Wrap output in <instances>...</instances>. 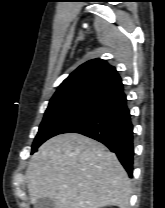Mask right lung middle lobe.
Masks as SVG:
<instances>
[{
  "label": "right lung middle lobe",
  "instance_id": "right-lung-middle-lobe-1",
  "mask_svg": "<svg viewBox=\"0 0 165 208\" xmlns=\"http://www.w3.org/2000/svg\"><path fill=\"white\" fill-rule=\"evenodd\" d=\"M93 107L92 105L82 104L48 106L33 142L31 153L35 152L47 139L61 134L86 116Z\"/></svg>",
  "mask_w": 165,
  "mask_h": 208
}]
</instances>
